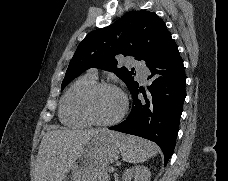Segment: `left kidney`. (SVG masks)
Masks as SVG:
<instances>
[{"label": "left kidney", "instance_id": "left-kidney-1", "mask_svg": "<svg viewBox=\"0 0 228 181\" xmlns=\"http://www.w3.org/2000/svg\"><path fill=\"white\" fill-rule=\"evenodd\" d=\"M151 173L148 167L137 165V167H130L122 175V181H150Z\"/></svg>", "mask_w": 228, "mask_h": 181}]
</instances>
